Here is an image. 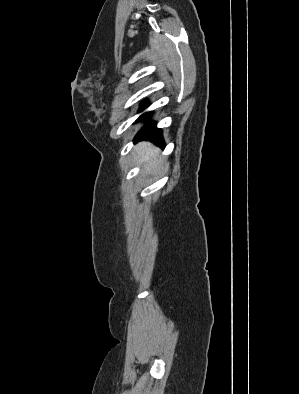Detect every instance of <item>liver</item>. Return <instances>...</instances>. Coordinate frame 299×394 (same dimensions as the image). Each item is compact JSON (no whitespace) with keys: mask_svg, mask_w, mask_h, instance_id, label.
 <instances>
[{"mask_svg":"<svg viewBox=\"0 0 299 394\" xmlns=\"http://www.w3.org/2000/svg\"><path fill=\"white\" fill-rule=\"evenodd\" d=\"M134 151L137 154V162L144 165L146 172L157 171L161 164L160 159L157 158L159 149L149 142H142L135 146Z\"/></svg>","mask_w":299,"mask_h":394,"instance_id":"1","label":"liver"}]
</instances>
